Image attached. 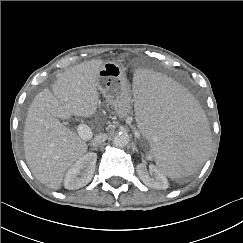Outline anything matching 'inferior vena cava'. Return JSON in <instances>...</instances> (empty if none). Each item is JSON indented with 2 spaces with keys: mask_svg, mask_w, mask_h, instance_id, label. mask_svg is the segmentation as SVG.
Segmentation results:
<instances>
[{
  "mask_svg": "<svg viewBox=\"0 0 243 243\" xmlns=\"http://www.w3.org/2000/svg\"><path fill=\"white\" fill-rule=\"evenodd\" d=\"M107 139V134L101 133L97 136H95L92 140H91V145L94 147L99 146L101 143H103L105 140Z\"/></svg>",
  "mask_w": 243,
  "mask_h": 243,
  "instance_id": "obj_1",
  "label": "inferior vena cava"
}]
</instances>
